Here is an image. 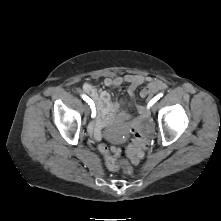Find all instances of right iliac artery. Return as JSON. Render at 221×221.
I'll list each match as a JSON object with an SVG mask.
<instances>
[{"mask_svg":"<svg viewBox=\"0 0 221 221\" xmlns=\"http://www.w3.org/2000/svg\"><path fill=\"white\" fill-rule=\"evenodd\" d=\"M82 98H83L84 101H86L90 105V107L92 109L91 117L94 118L96 116V111H95V107H94L93 101L88 96H86L84 94L82 95Z\"/></svg>","mask_w":221,"mask_h":221,"instance_id":"82829eb1","label":"right iliac artery"}]
</instances>
